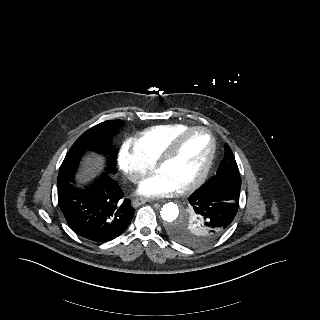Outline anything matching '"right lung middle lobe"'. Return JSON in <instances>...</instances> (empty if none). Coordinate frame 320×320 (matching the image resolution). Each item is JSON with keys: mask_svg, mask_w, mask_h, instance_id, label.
<instances>
[{"mask_svg": "<svg viewBox=\"0 0 320 320\" xmlns=\"http://www.w3.org/2000/svg\"><path fill=\"white\" fill-rule=\"evenodd\" d=\"M122 124V120L104 121L85 131L71 146L65 156L58 174V183L74 177L82 155L88 150L111 154V170L115 168V151L111 152L109 143L111 136Z\"/></svg>", "mask_w": 320, "mask_h": 320, "instance_id": "obj_1", "label": "right lung middle lobe"}]
</instances>
